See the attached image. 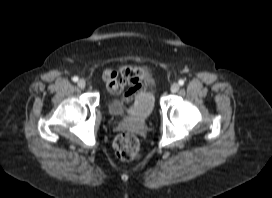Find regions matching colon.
<instances>
[{
    "label": "colon",
    "mask_w": 272,
    "mask_h": 198,
    "mask_svg": "<svg viewBox=\"0 0 272 198\" xmlns=\"http://www.w3.org/2000/svg\"><path fill=\"white\" fill-rule=\"evenodd\" d=\"M111 71L105 73L107 77ZM117 156L123 161H134L140 158L141 148L135 135L129 132L119 134L113 143Z\"/></svg>",
    "instance_id": "obj_1"
}]
</instances>
